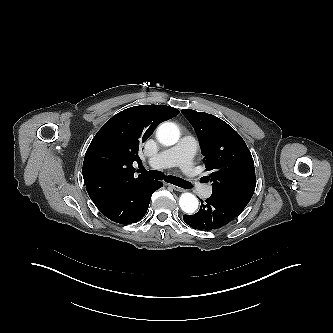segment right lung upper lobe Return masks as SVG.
<instances>
[{
    "mask_svg": "<svg viewBox=\"0 0 333 333\" xmlns=\"http://www.w3.org/2000/svg\"><path fill=\"white\" fill-rule=\"evenodd\" d=\"M179 114L166 105H141L125 109L109 119L91 141L83 162V178L94 204H103L148 180L134 177L138 151L156 126Z\"/></svg>",
    "mask_w": 333,
    "mask_h": 333,
    "instance_id": "right-lung-upper-lobe-1",
    "label": "right lung upper lobe"
}]
</instances>
